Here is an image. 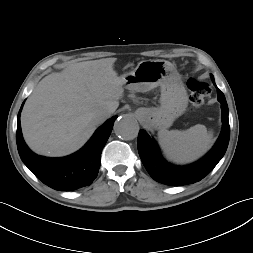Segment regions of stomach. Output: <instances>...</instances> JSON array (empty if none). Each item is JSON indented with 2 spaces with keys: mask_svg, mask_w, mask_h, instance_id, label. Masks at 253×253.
Listing matches in <instances>:
<instances>
[{
  "mask_svg": "<svg viewBox=\"0 0 253 253\" xmlns=\"http://www.w3.org/2000/svg\"><path fill=\"white\" fill-rule=\"evenodd\" d=\"M122 80L131 91L147 92L160 86V107L139 109L141 121L154 129L165 130L188 106L187 91L175 66L165 60H143Z\"/></svg>",
  "mask_w": 253,
  "mask_h": 253,
  "instance_id": "stomach-1",
  "label": "stomach"
}]
</instances>
